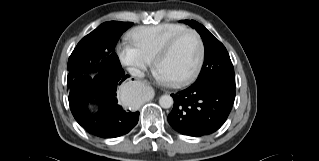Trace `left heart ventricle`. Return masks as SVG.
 <instances>
[{
  "label": "left heart ventricle",
  "mask_w": 319,
  "mask_h": 161,
  "mask_svg": "<svg viewBox=\"0 0 319 161\" xmlns=\"http://www.w3.org/2000/svg\"><path fill=\"white\" fill-rule=\"evenodd\" d=\"M199 48L194 35L181 38L173 50L158 65L157 70L166 79L179 78L190 72L198 58Z\"/></svg>",
  "instance_id": "b2bd125f"
}]
</instances>
